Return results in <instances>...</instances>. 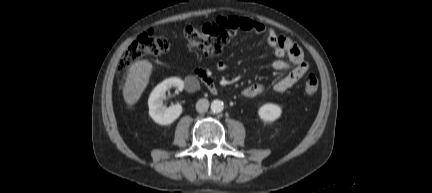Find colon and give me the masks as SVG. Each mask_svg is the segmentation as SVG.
<instances>
[{"instance_id":"obj_1","label":"colon","mask_w":432,"mask_h":193,"mask_svg":"<svg viewBox=\"0 0 432 193\" xmlns=\"http://www.w3.org/2000/svg\"><path fill=\"white\" fill-rule=\"evenodd\" d=\"M232 29L220 21L203 25L201 28L187 27L185 37L189 48L199 49L209 56H218L229 41ZM169 48L168 41L155 35L152 31L140 34L123 55L118 69L126 73L132 64L142 57H152L165 53ZM319 82L314 74H309L304 82V92L313 95L317 92Z\"/></svg>"}]
</instances>
